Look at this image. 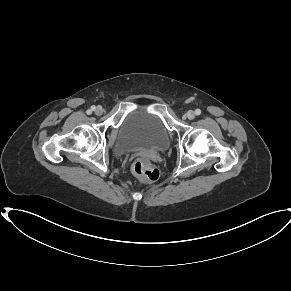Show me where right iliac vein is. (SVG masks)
Returning a JSON list of instances; mask_svg holds the SVG:
<instances>
[{
	"instance_id": "1",
	"label": "right iliac vein",
	"mask_w": 291,
	"mask_h": 291,
	"mask_svg": "<svg viewBox=\"0 0 291 291\" xmlns=\"http://www.w3.org/2000/svg\"><path fill=\"white\" fill-rule=\"evenodd\" d=\"M94 112H95L96 115L99 116V115L102 114L103 109H102V107L98 106V107L95 108Z\"/></svg>"
}]
</instances>
